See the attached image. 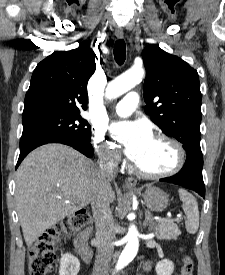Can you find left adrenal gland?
Listing matches in <instances>:
<instances>
[{
	"label": "left adrenal gland",
	"instance_id": "a2214340",
	"mask_svg": "<svg viewBox=\"0 0 225 275\" xmlns=\"http://www.w3.org/2000/svg\"><path fill=\"white\" fill-rule=\"evenodd\" d=\"M152 224H153L152 215L149 211H146L145 212V221L143 223V226L144 227L148 226V229L151 230L152 229V227H151Z\"/></svg>",
	"mask_w": 225,
	"mask_h": 275
}]
</instances>
